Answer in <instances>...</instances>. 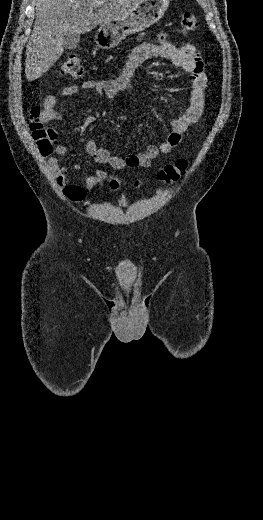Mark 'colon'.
Here are the masks:
<instances>
[{"instance_id":"colon-1","label":"colon","mask_w":263,"mask_h":520,"mask_svg":"<svg viewBox=\"0 0 263 520\" xmlns=\"http://www.w3.org/2000/svg\"><path fill=\"white\" fill-rule=\"evenodd\" d=\"M198 25L196 14L191 11H185L181 17V28L185 33L193 32ZM63 76L71 78H80L84 73L81 58L78 54H71L62 64L59 70ZM30 129L34 140L43 156H49L57 144V134L42 118V112L38 107H34L30 111ZM188 169V161L178 159L172 164L165 165L157 173L160 182L170 184L182 177ZM112 189H118L122 185L121 179L111 177L108 180Z\"/></svg>"}]
</instances>
